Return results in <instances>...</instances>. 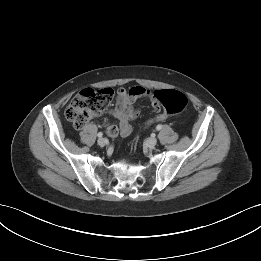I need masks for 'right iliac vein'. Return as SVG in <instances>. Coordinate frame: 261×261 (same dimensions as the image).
Masks as SVG:
<instances>
[{"label": "right iliac vein", "instance_id": "1", "mask_svg": "<svg viewBox=\"0 0 261 261\" xmlns=\"http://www.w3.org/2000/svg\"><path fill=\"white\" fill-rule=\"evenodd\" d=\"M97 143L99 146L104 147L106 144V140L104 138H99Z\"/></svg>", "mask_w": 261, "mask_h": 261}]
</instances>
